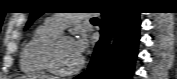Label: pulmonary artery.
Segmentation results:
<instances>
[{
    "label": "pulmonary artery",
    "mask_w": 177,
    "mask_h": 79,
    "mask_svg": "<svg viewBox=\"0 0 177 79\" xmlns=\"http://www.w3.org/2000/svg\"><path fill=\"white\" fill-rule=\"evenodd\" d=\"M88 16L91 15L85 13L54 14L46 20V23L61 33L67 26L76 23Z\"/></svg>",
    "instance_id": "1"
}]
</instances>
